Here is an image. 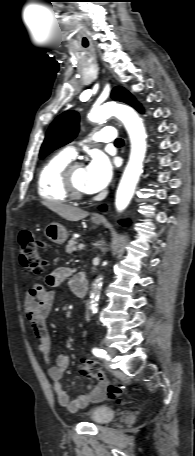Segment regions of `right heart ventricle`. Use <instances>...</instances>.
<instances>
[{
    "mask_svg": "<svg viewBox=\"0 0 195 456\" xmlns=\"http://www.w3.org/2000/svg\"><path fill=\"white\" fill-rule=\"evenodd\" d=\"M72 161L65 152H60L49 158L42 166L37 180L39 195L46 200L65 202L69 198L63 187L62 173Z\"/></svg>",
    "mask_w": 195,
    "mask_h": 456,
    "instance_id": "right-heart-ventricle-1",
    "label": "right heart ventricle"
}]
</instances>
